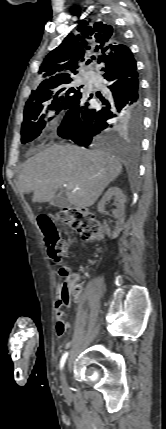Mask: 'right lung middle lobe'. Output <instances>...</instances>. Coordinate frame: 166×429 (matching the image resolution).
I'll return each instance as SVG.
<instances>
[{"mask_svg": "<svg viewBox=\"0 0 166 429\" xmlns=\"http://www.w3.org/2000/svg\"><path fill=\"white\" fill-rule=\"evenodd\" d=\"M72 77L51 86L37 88L32 91L25 104L24 120L21 128L23 144L38 137L45 126L43 111L46 109L68 110L81 95L80 87L72 85ZM51 119V118H50Z\"/></svg>", "mask_w": 166, "mask_h": 429, "instance_id": "dd1d6c3e", "label": "right lung middle lobe"}]
</instances>
